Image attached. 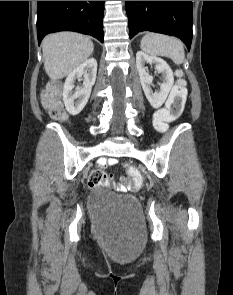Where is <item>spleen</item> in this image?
I'll return each mask as SVG.
<instances>
[{
	"mask_svg": "<svg viewBox=\"0 0 233 295\" xmlns=\"http://www.w3.org/2000/svg\"><path fill=\"white\" fill-rule=\"evenodd\" d=\"M141 49L151 55L170 57L176 64L185 56L183 43L178 38L158 33H147L141 40Z\"/></svg>",
	"mask_w": 233,
	"mask_h": 295,
	"instance_id": "obj_1",
	"label": "spleen"
}]
</instances>
